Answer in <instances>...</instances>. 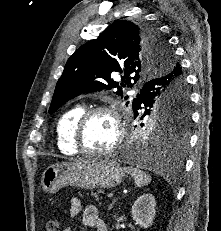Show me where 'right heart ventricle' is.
<instances>
[{"mask_svg": "<svg viewBox=\"0 0 221 231\" xmlns=\"http://www.w3.org/2000/svg\"><path fill=\"white\" fill-rule=\"evenodd\" d=\"M84 110V107L81 105L73 106L66 110L57 122V146L63 154L73 155L78 152L73 144V132L75 122Z\"/></svg>", "mask_w": 221, "mask_h": 231, "instance_id": "1", "label": "right heart ventricle"}]
</instances>
